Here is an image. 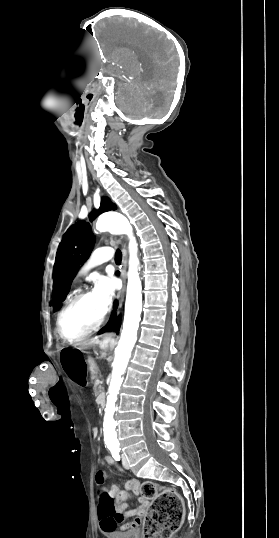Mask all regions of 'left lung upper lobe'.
Masks as SVG:
<instances>
[{
	"mask_svg": "<svg viewBox=\"0 0 279 538\" xmlns=\"http://www.w3.org/2000/svg\"><path fill=\"white\" fill-rule=\"evenodd\" d=\"M111 209L115 210L116 205L112 204L108 198H102L99 210H93L90 213V221ZM94 242L95 238L90 225L85 221H79L70 226L64 234L57 250L53 273V299L50 306H53L55 311L66 298L79 266L90 256Z\"/></svg>",
	"mask_w": 279,
	"mask_h": 538,
	"instance_id": "5c2ea615",
	"label": "left lung upper lobe"
}]
</instances>
